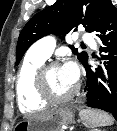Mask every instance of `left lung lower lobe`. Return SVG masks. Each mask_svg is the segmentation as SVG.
Returning a JSON list of instances; mask_svg holds the SVG:
<instances>
[{
  "label": "left lung lower lobe",
  "instance_id": "0a47b994",
  "mask_svg": "<svg viewBox=\"0 0 117 131\" xmlns=\"http://www.w3.org/2000/svg\"><path fill=\"white\" fill-rule=\"evenodd\" d=\"M95 33L102 45L103 66L92 68L87 61L83 64L87 76L86 104L112 113L117 120V10L111 1L105 7Z\"/></svg>",
  "mask_w": 117,
  "mask_h": 131
}]
</instances>
